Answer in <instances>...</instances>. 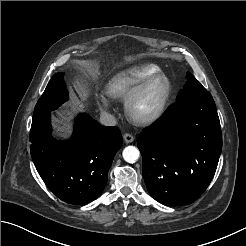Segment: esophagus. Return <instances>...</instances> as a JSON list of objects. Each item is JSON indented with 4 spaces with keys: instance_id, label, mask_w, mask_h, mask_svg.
Returning a JSON list of instances; mask_svg holds the SVG:
<instances>
[{
    "instance_id": "1",
    "label": "esophagus",
    "mask_w": 246,
    "mask_h": 246,
    "mask_svg": "<svg viewBox=\"0 0 246 246\" xmlns=\"http://www.w3.org/2000/svg\"><path fill=\"white\" fill-rule=\"evenodd\" d=\"M123 139L126 143H132L134 141V136L132 134L126 133L123 135Z\"/></svg>"
}]
</instances>
